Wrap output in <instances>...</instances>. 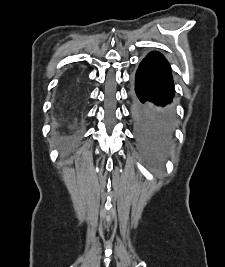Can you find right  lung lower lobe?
Instances as JSON below:
<instances>
[{
    "label": "right lung lower lobe",
    "instance_id": "obj_1",
    "mask_svg": "<svg viewBox=\"0 0 225 267\" xmlns=\"http://www.w3.org/2000/svg\"><path fill=\"white\" fill-rule=\"evenodd\" d=\"M83 80V76L80 73H74L69 76L65 81V86L68 91H71L78 87L80 82ZM71 100L68 101V106H71Z\"/></svg>",
    "mask_w": 225,
    "mask_h": 267
}]
</instances>
